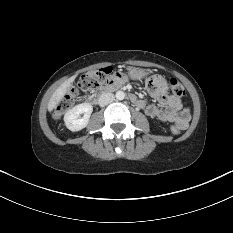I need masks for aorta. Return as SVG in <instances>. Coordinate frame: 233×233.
I'll return each instance as SVG.
<instances>
[{
	"mask_svg": "<svg viewBox=\"0 0 233 233\" xmlns=\"http://www.w3.org/2000/svg\"><path fill=\"white\" fill-rule=\"evenodd\" d=\"M125 98V93L123 91L116 92V99L123 100Z\"/></svg>",
	"mask_w": 233,
	"mask_h": 233,
	"instance_id": "aorta-1",
	"label": "aorta"
}]
</instances>
